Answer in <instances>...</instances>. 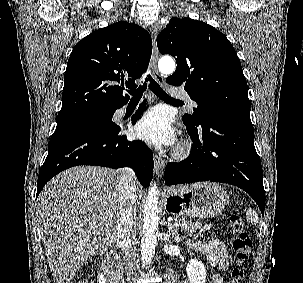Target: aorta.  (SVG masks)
<instances>
[{
	"label": "aorta",
	"instance_id": "762f6f07",
	"mask_svg": "<svg viewBox=\"0 0 303 283\" xmlns=\"http://www.w3.org/2000/svg\"><path fill=\"white\" fill-rule=\"evenodd\" d=\"M175 62L170 56L162 57L158 62L159 71L169 75L175 71ZM159 209H158V188L153 184L144 204L143 230L141 241V260L143 265L151 263L158 236Z\"/></svg>",
	"mask_w": 303,
	"mask_h": 283
}]
</instances>
